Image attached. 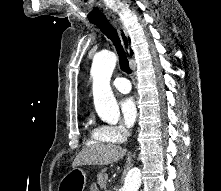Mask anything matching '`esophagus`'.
<instances>
[{"label": "esophagus", "instance_id": "obj_1", "mask_svg": "<svg viewBox=\"0 0 221 191\" xmlns=\"http://www.w3.org/2000/svg\"><path fill=\"white\" fill-rule=\"evenodd\" d=\"M108 20L110 23L117 29L118 34L120 36V39L122 41V44L126 51L129 52V42H128V35L126 32V29L119 18H117L115 15H109Z\"/></svg>", "mask_w": 221, "mask_h": 191}]
</instances>
